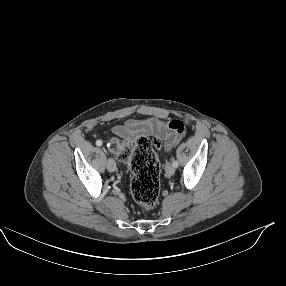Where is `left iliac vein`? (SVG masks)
Instances as JSON below:
<instances>
[{"mask_svg": "<svg viewBox=\"0 0 286 286\" xmlns=\"http://www.w3.org/2000/svg\"><path fill=\"white\" fill-rule=\"evenodd\" d=\"M165 171L168 175H173L175 173V168L170 162H167L165 165Z\"/></svg>", "mask_w": 286, "mask_h": 286, "instance_id": "1", "label": "left iliac vein"}]
</instances>
